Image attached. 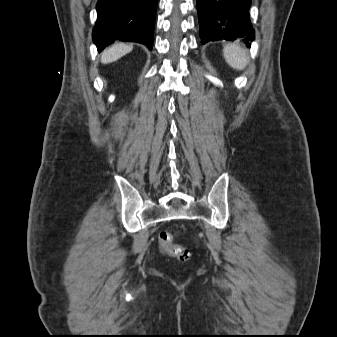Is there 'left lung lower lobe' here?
<instances>
[{
    "instance_id": "obj_1",
    "label": "left lung lower lobe",
    "mask_w": 337,
    "mask_h": 337,
    "mask_svg": "<svg viewBox=\"0 0 337 337\" xmlns=\"http://www.w3.org/2000/svg\"><path fill=\"white\" fill-rule=\"evenodd\" d=\"M251 0H197L202 44L242 39L250 47L254 29L249 19Z\"/></svg>"
}]
</instances>
